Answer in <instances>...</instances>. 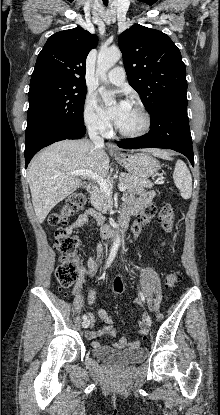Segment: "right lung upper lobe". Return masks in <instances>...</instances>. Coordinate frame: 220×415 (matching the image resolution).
I'll return each mask as SVG.
<instances>
[{
    "mask_svg": "<svg viewBox=\"0 0 220 415\" xmlns=\"http://www.w3.org/2000/svg\"><path fill=\"white\" fill-rule=\"evenodd\" d=\"M97 43L96 35L80 27L53 34L38 55L31 81L50 78L85 85L86 58Z\"/></svg>",
    "mask_w": 220,
    "mask_h": 415,
    "instance_id": "1",
    "label": "right lung upper lobe"
}]
</instances>
